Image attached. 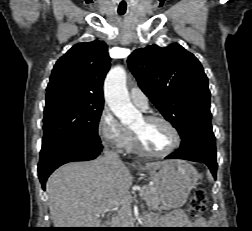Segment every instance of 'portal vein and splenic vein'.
Masks as SVG:
<instances>
[{
  "label": "portal vein and splenic vein",
  "mask_w": 252,
  "mask_h": 231,
  "mask_svg": "<svg viewBox=\"0 0 252 231\" xmlns=\"http://www.w3.org/2000/svg\"><path fill=\"white\" fill-rule=\"evenodd\" d=\"M144 189H145V186L142 188V190L140 191V196H141V193L144 191ZM126 200H128V198H124L123 199V201H126Z\"/></svg>",
  "instance_id": "obj_1"
}]
</instances>
